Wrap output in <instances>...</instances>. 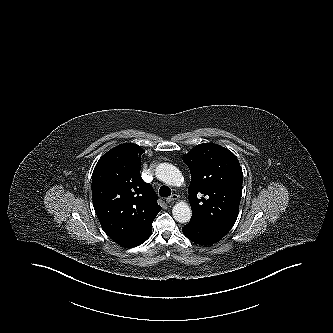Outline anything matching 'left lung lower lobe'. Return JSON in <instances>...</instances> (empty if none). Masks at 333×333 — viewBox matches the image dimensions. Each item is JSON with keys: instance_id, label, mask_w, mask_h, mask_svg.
<instances>
[{"instance_id": "1", "label": "left lung lower lobe", "mask_w": 333, "mask_h": 333, "mask_svg": "<svg viewBox=\"0 0 333 333\" xmlns=\"http://www.w3.org/2000/svg\"><path fill=\"white\" fill-rule=\"evenodd\" d=\"M182 231L188 239L200 245L214 244L226 235L195 221H190L182 228Z\"/></svg>"}]
</instances>
